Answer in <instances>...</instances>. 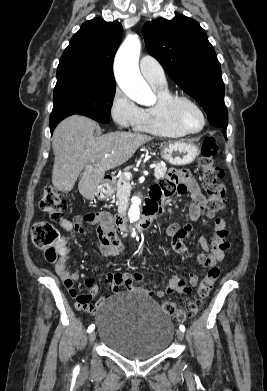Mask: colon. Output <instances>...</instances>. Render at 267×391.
<instances>
[{
  "mask_svg": "<svg viewBox=\"0 0 267 391\" xmlns=\"http://www.w3.org/2000/svg\"><path fill=\"white\" fill-rule=\"evenodd\" d=\"M219 153V147L213 138H205L201 145L199 168L202 171V179L208 194L207 212L210 217L221 212L226 205L225 187L221 183L223 170L215 164V157ZM40 208L53 220H61L69 209V202L64 194L54 187H46L41 194ZM58 239V232L55 227L46 221L36 223L32 228V241L34 245L45 251L46 259L50 262L56 260L57 254L54 247ZM220 276V268L212 267L201 281L196 298L192 301L186 311L178 308L172 301H165L162 304L163 310L178 321H184L187 317L195 316L205 300L209 296L215 282ZM141 274L131 275V282L142 281ZM119 280V277H117ZM142 288V287H141Z\"/></svg>",
  "mask_w": 267,
  "mask_h": 391,
  "instance_id": "5ec220e1",
  "label": "colon"
}]
</instances>
